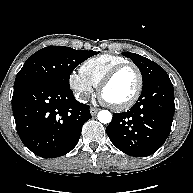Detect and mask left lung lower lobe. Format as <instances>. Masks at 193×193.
I'll return each instance as SVG.
<instances>
[{"label": "left lung lower lobe", "instance_id": "left-lung-lower-lobe-1", "mask_svg": "<svg viewBox=\"0 0 193 193\" xmlns=\"http://www.w3.org/2000/svg\"><path fill=\"white\" fill-rule=\"evenodd\" d=\"M174 112L173 85L165 73L143 88L129 111L113 113L107 135L114 146L126 154L149 156L166 141Z\"/></svg>", "mask_w": 193, "mask_h": 193}]
</instances>
